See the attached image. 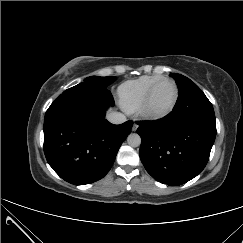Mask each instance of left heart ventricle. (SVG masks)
Segmentation results:
<instances>
[{
	"label": "left heart ventricle",
	"instance_id": "left-heart-ventricle-1",
	"mask_svg": "<svg viewBox=\"0 0 243 243\" xmlns=\"http://www.w3.org/2000/svg\"><path fill=\"white\" fill-rule=\"evenodd\" d=\"M175 96V87L171 82L161 84L155 91L150 108L155 112H161L167 109Z\"/></svg>",
	"mask_w": 243,
	"mask_h": 243
}]
</instances>
